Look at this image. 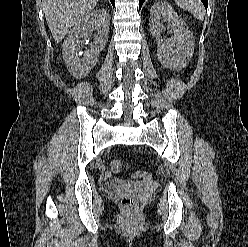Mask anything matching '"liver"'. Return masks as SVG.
Instances as JSON below:
<instances>
[{
  "mask_svg": "<svg viewBox=\"0 0 248 247\" xmlns=\"http://www.w3.org/2000/svg\"><path fill=\"white\" fill-rule=\"evenodd\" d=\"M98 0H44V13L56 43L69 29L94 9Z\"/></svg>",
  "mask_w": 248,
  "mask_h": 247,
  "instance_id": "obj_1",
  "label": "liver"
}]
</instances>
